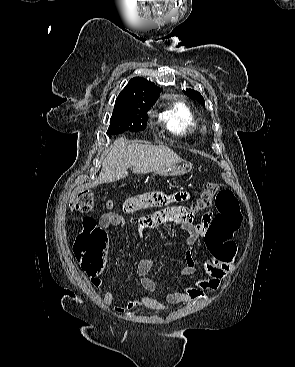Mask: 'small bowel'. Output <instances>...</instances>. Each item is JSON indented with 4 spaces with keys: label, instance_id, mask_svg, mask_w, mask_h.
<instances>
[{
    "label": "small bowel",
    "instance_id": "c3829d8e",
    "mask_svg": "<svg viewBox=\"0 0 295 367\" xmlns=\"http://www.w3.org/2000/svg\"><path fill=\"white\" fill-rule=\"evenodd\" d=\"M164 198L165 202L173 199L170 196L158 193L148 196H139L127 200L122 205V212L130 215L138 210L158 205V199ZM174 199L185 200L186 194H176ZM161 215L166 217H159L158 215H145L138 219L131 221L137 224V231L140 237L144 232L161 225H167L168 222L177 223L179 228L185 231L187 237V250L185 252L184 266L180 270L182 277L191 276L196 272L198 267H201L208 275V278L199 279L194 286H188L180 291L168 292L165 294V301L167 304L178 303H192L195 301L205 300L207 295L204 290H217L221 281L232 271L230 261L220 258L211 248H208L210 256L203 262H199L194 255L196 245L202 240L206 239L207 231L212 221V214L207 213L203 216L200 222L194 221V214L190 212L189 208H161ZM173 215V216H172ZM100 226L103 229L110 227L124 226L126 218L123 214L116 212L104 213L99 220ZM153 267V260L151 258L142 259L137 267L136 273L140 278L141 287L147 292H154L156 290L155 281L148 276V273ZM91 282L96 288L103 285V280L100 276H93ZM115 297L112 291H106L103 295V302L105 305H112ZM161 303L150 296L138 295L135 299L127 300L123 303H116L114 310L117 313H124L134 308L145 306L148 308L168 310L169 306Z\"/></svg>",
    "mask_w": 295,
    "mask_h": 367
}]
</instances>
